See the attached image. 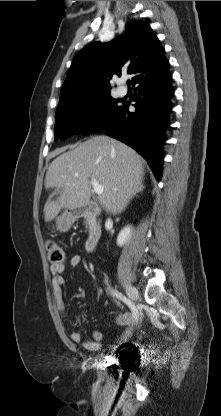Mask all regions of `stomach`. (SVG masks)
I'll list each match as a JSON object with an SVG mask.
<instances>
[{"instance_id":"1","label":"stomach","mask_w":221,"mask_h":416,"mask_svg":"<svg viewBox=\"0 0 221 416\" xmlns=\"http://www.w3.org/2000/svg\"><path fill=\"white\" fill-rule=\"evenodd\" d=\"M75 219L76 216L73 213L68 211L64 212L56 219L57 230H59L60 232H67Z\"/></svg>"}]
</instances>
